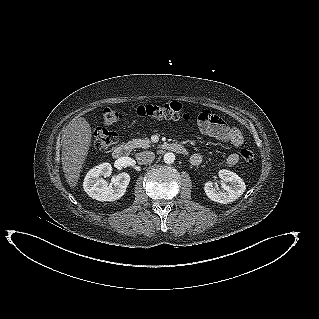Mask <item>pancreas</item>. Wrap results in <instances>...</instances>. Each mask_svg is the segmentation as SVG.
<instances>
[{"instance_id":"1","label":"pancreas","mask_w":319,"mask_h":319,"mask_svg":"<svg viewBox=\"0 0 319 319\" xmlns=\"http://www.w3.org/2000/svg\"><path fill=\"white\" fill-rule=\"evenodd\" d=\"M152 142L146 139H132L128 141L127 145L129 148H149Z\"/></svg>"}]
</instances>
